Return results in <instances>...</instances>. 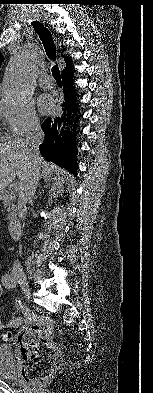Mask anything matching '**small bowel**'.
I'll return each mask as SVG.
<instances>
[{"instance_id": "obj_1", "label": "small bowel", "mask_w": 153, "mask_h": 393, "mask_svg": "<svg viewBox=\"0 0 153 393\" xmlns=\"http://www.w3.org/2000/svg\"><path fill=\"white\" fill-rule=\"evenodd\" d=\"M2 294H3V288H2V286L0 285V297L2 296ZM14 303H15V308H16V310H20V308H21V303H20V301H19L18 299H15ZM10 338H11V332L6 331V332H4V333L2 334V339H4V340H9Z\"/></svg>"}]
</instances>
